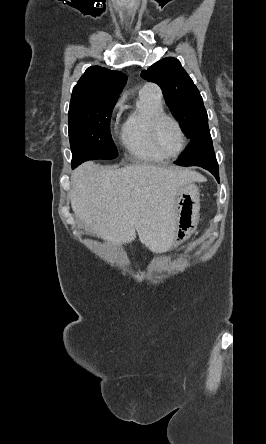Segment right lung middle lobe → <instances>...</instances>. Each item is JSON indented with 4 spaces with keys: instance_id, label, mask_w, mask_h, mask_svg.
<instances>
[{
    "instance_id": "dd1d6c3e",
    "label": "right lung middle lobe",
    "mask_w": 266,
    "mask_h": 444,
    "mask_svg": "<svg viewBox=\"0 0 266 444\" xmlns=\"http://www.w3.org/2000/svg\"><path fill=\"white\" fill-rule=\"evenodd\" d=\"M117 98H102L70 105L68 112L72 165L89 159L118 156L110 134V117Z\"/></svg>"
}]
</instances>
